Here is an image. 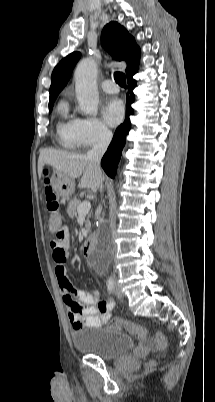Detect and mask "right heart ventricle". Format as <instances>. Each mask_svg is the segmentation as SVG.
<instances>
[{"label":"right heart ventricle","instance_id":"e07e8e85","mask_svg":"<svg viewBox=\"0 0 215 402\" xmlns=\"http://www.w3.org/2000/svg\"><path fill=\"white\" fill-rule=\"evenodd\" d=\"M58 122L56 125V132L58 142L61 146L74 149L77 143L74 136L75 120L69 113V106L66 101L59 102L57 106Z\"/></svg>","mask_w":215,"mask_h":402}]
</instances>
